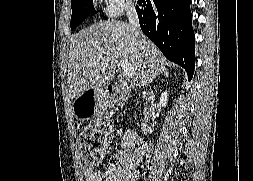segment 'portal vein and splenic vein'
I'll return each mask as SVG.
<instances>
[{
  "mask_svg": "<svg viewBox=\"0 0 253 181\" xmlns=\"http://www.w3.org/2000/svg\"><path fill=\"white\" fill-rule=\"evenodd\" d=\"M119 65L122 68L125 76H127L128 78H134L135 70L131 63L126 60H120Z\"/></svg>",
  "mask_w": 253,
  "mask_h": 181,
  "instance_id": "18ae733b",
  "label": "portal vein and splenic vein"
}]
</instances>
